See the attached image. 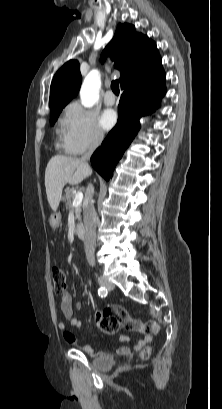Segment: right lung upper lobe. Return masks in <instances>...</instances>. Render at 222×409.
<instances>
[{"label":"right lung upper lobe","mask_w":222,"mask_h":409,"mask_svg":"<svg viewBox=\"0 0 222 409\" xmlns=\"http://www.w3.org/2000/svg\"><path fill=\"white\" fill-rule=\"evenodd\" d=\"M115 61V68L121 72V87L137 77L154 73L162 69L161 57L156 44L133 25L118 24L112 40L102 53ZM79 62L70 60L55 74L50 88V111L65 107L74 98L81 85Z\"/></svg>","instance_id":"right-lung-upper-lobe-1"}]
</instances>
